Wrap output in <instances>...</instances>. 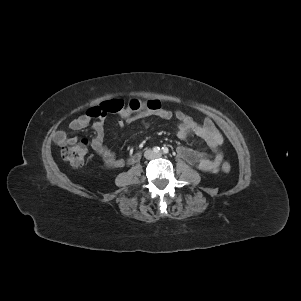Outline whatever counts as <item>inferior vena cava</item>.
<instances>
[{
    "instance_id": "1",
    "label": "inferior vena cava",
    "mask_w": 301,
    "mask_h": 301,
    "mask_svg": "<svg viewBox=\"0 0 301 301\" xmlns=\"http://www.w3.org/2000/svg\"><path fill=\"white\" fill-rule=\"evenodd\" d=\"M144 156L146 159H153L157 157V154H155L152 150H147L145 151Z\"/></svg>"
}]
</instances>
